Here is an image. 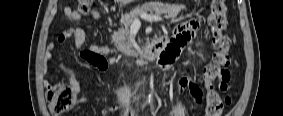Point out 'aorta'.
<instances>
[{"label": "aorta", "mask_w": 283, "mask_h": 116, "mask_svg": "<svg viewBox=\"0 0 283 116\" xmlns=\"http://www.w3.org/2000/svg\"><path fill=\"white\" fill-rule=\"evenodd\" d=\"M148 100H149V101H152V100H153V95H152V94L149 95Z\"/></svg>", "instance_id": "762f6f07"}]
</instances>
